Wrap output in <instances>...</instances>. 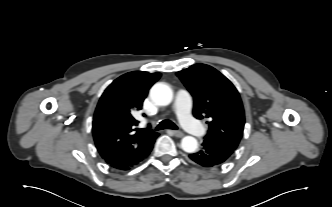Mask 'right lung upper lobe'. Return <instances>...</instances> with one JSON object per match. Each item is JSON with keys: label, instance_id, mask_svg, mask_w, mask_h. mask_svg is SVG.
<instances>
[{"label": "right lung upper lobe", "instance_id": "cb5924a9", "mask_svg": "<svg viewBox=\"0 0 332 207\" xmlns=\"http://www.w3.org/2000/svg\"><path fill=\"white\" fill-rule=\"evenodd\" d=\"M160 73L134 71L114 80L102 94L93 118V137L100 155L113 168L128 170L150 152L158 133L137 129L141 110Z\"/></svg>", "mask_w": 332, "mask_h": 207}]
</instances>
